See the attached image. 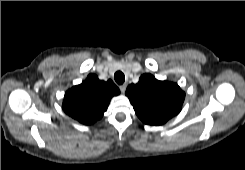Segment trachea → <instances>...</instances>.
<instances>
[{
	"label": "trachea",
	"mask_w": 245,
	"mask_h": 170,
	"mask_svg": "<svg viewBox=\"0 0 245 170\" xmlns=\"http://www.w3.org/2000/svg\"><path fill=\"white\" fill-rule=\"evenodd\" d=\"M114 79H115V81H116L119 85H121V84H123L124 81H125V76H124V74H123L121 71H117V72L114 74Z\"/></svg>",
	"instance_id": "trachea-1"
}]
</instances>
